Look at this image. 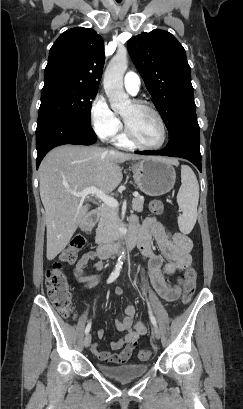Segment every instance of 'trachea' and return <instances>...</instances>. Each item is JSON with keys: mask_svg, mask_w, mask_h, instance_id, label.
Masks as SVG:
<instances>
[{"mask_svg": "<svg viewBox=\"0 0 243 409\" xmlns=\"http://www.w3.org/2000/svg\"><path fill=\"white\" fill-rule=\"evenodd\" d=\"M117 2L119 3V2H121V0H117Z\"/></svg>", "mask_w": 243, "mask_h": 409, "instance_id": "3493384b", "label": "trachea"}]
</instances>
